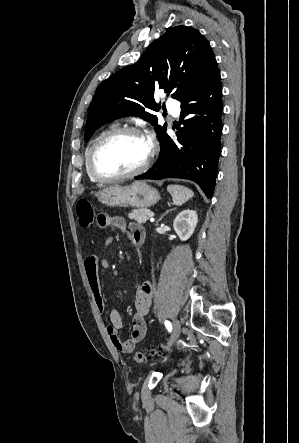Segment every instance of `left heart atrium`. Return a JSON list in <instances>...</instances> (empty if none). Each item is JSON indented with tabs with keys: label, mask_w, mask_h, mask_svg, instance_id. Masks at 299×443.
<instances>
[{
	"label": "left heart atrium",
	"mask_w": 299,
	"mask_h": 443,
	"mask_svg": "<svg viewBox=\"0 0 299 443\" xmlns=\"http://www.w3.org/2000/svg\"><path fill=\"white\" fill-rule=\"evenodd\" d=\"M152 140H153V139H152V136H151V135L147 137L148 144H152Z\"/></svg>",
	"instance_id": "39dd6f15"
}]
</instances>
